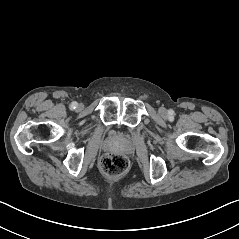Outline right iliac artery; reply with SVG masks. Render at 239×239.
<instances>
[{
	"instance_id": "obj_1",
	"label": "right iliac artery",
	"mask_w": 239,
	"mask_h": 239,
	"mask_svg": "<svg viewBox=\"0 0 239 239\" xmlns=\"http://www.w3.org/2000/svg\"><path fill=\"white\" fill-rule=\"evenodd\" d=\"M77 105H78L77 102L74 101L71 103L70 108L75 109L77 107Z\"/></svg>"
}]
</instances>
